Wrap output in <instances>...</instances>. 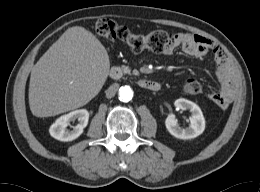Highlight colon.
Here are the masks:
<instances>
[{"label": "colon", "instance_id": "obj_1", "mask_svg": "<svg viewBox=\"0 0 260 192\" xmlns=\"http://www.w3.org/2000/svg\"><path fill=\"white\" fill-rule=\"evenodd\" d=\"M95 30L101 38L106 40H120L134 51L148 49L161 52L170 46L176 38V34L166 30H155L147 34H136L127 27L109 18L99 19L96 22ZM183 91L190 95L198 94L201 92V85L197 80L189 79L185 82Z\"/></svg>", "mask_w": 260, "mask_h": 192}]
</instances>
